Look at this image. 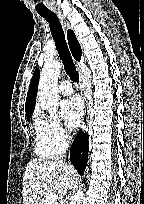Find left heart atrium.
<instances>
[{
	"mask_svg": "<svg viewBox=\"0 0 144 204\" xmlns=\"http://www.w3.org/2000/svg\"><path fill=\"white\" fill-rule=\"evenodd\" d=\"M83 113V103L81 99L76 96L67 98L61 103V114L66 125L71 129H75L79 126Z\"/></svg>",
	"mask_w": 144,
	"mask_h": 204,
	"instance_id": "1",
	"label": "left heart atrium"
}]
</instances>
